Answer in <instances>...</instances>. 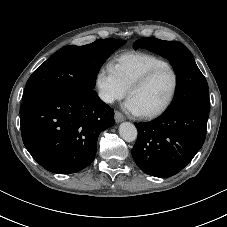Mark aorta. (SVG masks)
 I'll return each mask as SVG.
<instances>
[{"label": "aorta", "instance_id": "762f6f07", "mask_svg": "<svg viewBox=\"0 0 227 227\" xmlns=\"http://www.w3.org/2000/svg\"><path fill=\"white\" fill-rule=\"evenodd\" d=\"M119 134L121 138L127 142L136 140L138 135L135 125L130 122H123L120 124Z\"/></svg>", "mask_w": 227, "mask_h": 227}]
</instances>
